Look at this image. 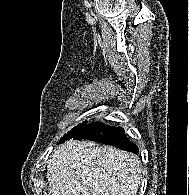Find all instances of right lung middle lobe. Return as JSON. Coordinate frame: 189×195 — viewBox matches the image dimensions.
Masks as SVG:
<instances>
[{"label": "right lung middle lobe", "mask_w": 189, "mask_h": 195, "mask_svg": "<svg viewBox=\"0 0 189 195\" xmlns=\"http://www.w3.org/2000/svg\"><path fill=\"white\" fill-rule=\"evenodd\" d=\"M87 125V121L82 122L78 126L74 127L71 131H69L67 134L64 135L63 138L60 139V141H64L66 139L72 138L77 133H79L85 126Z\"/></svg>", "instance_id": "obj_1"}]
</instances>
